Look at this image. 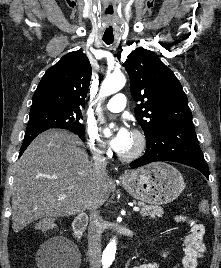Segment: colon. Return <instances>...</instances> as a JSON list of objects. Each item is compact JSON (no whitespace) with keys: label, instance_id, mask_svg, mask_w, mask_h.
<instances>
[{"label":"colon","instance_id":"colon-1","mask_svg":"<svg viewBox=\"0 0 221 268\" xmlns=\"http://www.w3.org/2000/svg\"><path fill=\"white\" fill-rule=\"evenodd\" d=\"M198 209L201 213L207 214L209 213V203L207 200H200L198 203ZM55 227L54 219L52 218H43L41 219L38 224L37 228L41 231H47Z\"/></svg>","mask_w":221,"mask_h":268}]
</instances>
